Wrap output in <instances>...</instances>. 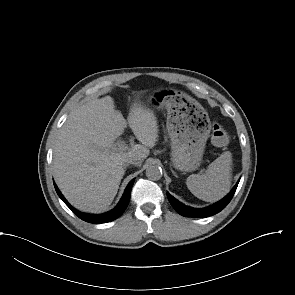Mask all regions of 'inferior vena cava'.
Wrapping results in <instances>:
<instances>
[{
    "mask_svg": "<svg viewBox=\"0 0 295 295\" xmlns=\"http://www.w3.org/2000/svg\"><path fill=\"white\" fill-rule=\"evenodd\" d=\"M140 163H142L141 158L135 154H128L125 159V164L139 165Z\"/></svg>",
    "mask_w": 295,
    "mask_h": 295,
    "instance_id": "obj_1",
    "label": "inferior vena cava"
}]
</instances>
